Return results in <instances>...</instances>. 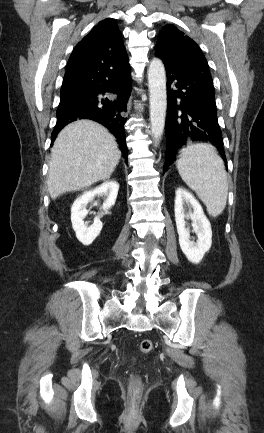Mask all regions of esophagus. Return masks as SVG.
Listing matches in <instances>:
<instances>
[{"label":"esophagus","mask_w":264,"mask_h":433,"mask_svg":"<svg viewBox=\"0 0 264 433\" xmlns=\"http://www.w3.org/2000/svg\"><path fill=\"white\" fill-rule=\"evenodd\" d=\"M130 106H131V99L128 102V108H130Z\"/></svg>","instance_id":"esophagus-1"}]
</instances>
